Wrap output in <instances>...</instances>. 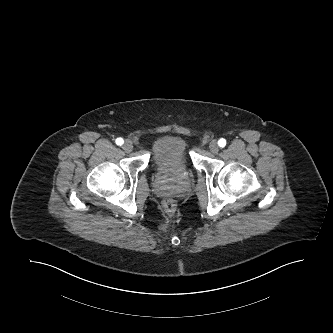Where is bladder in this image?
<instances>
[{
	"instance_id": "1",
	"label": "bladder",
	"mask_w": 333,
	"mask_h": 333,
	"mask_svg": "<svg viewBox=\"0 0 333 333\" xmlns=\"http://www.w3.org/2000/svg\"><path fill=\"white\" fill-rule=\"evenodd\" d=\"M152 159L157 171L186 167L189 162L186 141L175 135H162L154 143Z\"/></svg>"
}]
</instances>
